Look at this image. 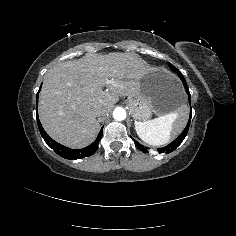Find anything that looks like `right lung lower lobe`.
Wrapping results in <instances>:
<instances>
[{
	"label": "right lung lower lobe",
	"mask_w": 236,
	"mask_h": 236,
	"mask_svg": "<svg viewBox=\"0 0 236 236\" xmlns=\"http://www.w3.org/2000/svg\"><path fill=\"white\" fill-rule=\"evenodd\" d=\"M39 91H40V89H39ZM37 96H38V94H37ZM36 108H37V106H36ZM36 119H37V124H38L39 130H40V133H41L44 141L58 155H60L61 157L65 158V159L75 160V159H81V158L88 157V156L92 155L97 150L98 143L102 138L103 127H102L101 131L99 132L98 137L91 145H89L83 149H70L68 147H65V146L57 143L56 141H54L53 139H51L48 136V134L44 131V129L39 121L37 109H36Z\"/></svg>",
	"instance_id": "1"
}]
</instances>
